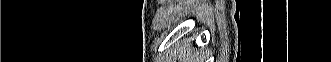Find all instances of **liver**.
<instances>
[{
	"label": "liver",
	"instance_id": "obj_1",
	"mask_svg": "<svg viewBox=\"0 0 331 62\" xmlns=\"http://www.w3.org/2000/svg\"><path fill=\"white\" fill-rule=\"evenodd\" d=\"M185 60H186L185 62H196V61H188V60H192L190 55L189 56L187 55ZM194 60H196V59H194Z\"/></svg>",
	"mask_w": 331,
	"mask_h": 62
}]
</instances>
